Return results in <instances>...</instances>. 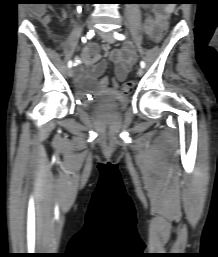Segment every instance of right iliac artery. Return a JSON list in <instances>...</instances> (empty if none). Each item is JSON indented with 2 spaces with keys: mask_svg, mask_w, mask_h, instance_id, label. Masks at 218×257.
<instances>
[{
  "mask_svg": "<svg viewBox=\"0 0 218 257\" xmlns=\"http://www.w3.org/2000/svg\"><path fill=\"white\" fill-rule=\"evenodd\" d=\"M94 36V31L90 30L87 35H86V39H91ZM86 39L84 41H86ZM68 67L71 68L72 67V61L70 60L68 62Z\"/></svg>",
  "mask_w": 218,
  "mask_h": 257,
  "instance_id": "right-iliac-artery-1",
  "label": "right iliac artery"
}]
</instances>
